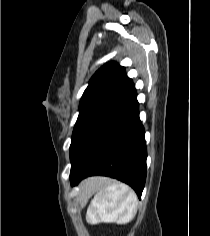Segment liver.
Masks as SVG:
<instances>
[{
    "mask_svg": "<svg viewBox=\"0 0 210 236\" xmlns=\"http://www.w3.org/2000/svg\"><path fill=\"white\" fill-rule=\"evenodd\" d=\"M99 180H100V178H92V179H89L87 182L88 183H93V182H97Z\"/></svg>",
    "mask_w": 210,
    "mask_h": 236,
    "instance_id": "obj_1",
    "label": "liver"
}]
</instances>
